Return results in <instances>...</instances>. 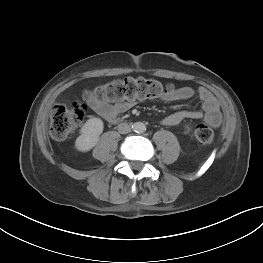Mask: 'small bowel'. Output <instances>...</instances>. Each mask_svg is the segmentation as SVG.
I'll list each match as a JSON object with an SVG mask.
<instances>
[{
  "instance_id": "obj_1",
  "label": "small bowel",
  "mask_w": 263,
  "mask_h": 263,
  "mask_svg": "<svg viewBox=\"0 0 263 263\" xmlns=\"http://www.w3.org/2000/svg\"><path fill=\"white\" fill-rule=\"evenodd\" d=\"M197 94L202 104L201 110H179L165 116L161 120V123L165 126H175L185 119H203L209 125L218 127L221 123V113L216 98L204 87L198 88ZM194 95L195 90L193 88L184 86L173 89L170 93L164 95L163 99L167 101L186 100L192 98ZM86 100L92 110L107 120L115 119L120 113L127 111L133 105V101L111 105L92 96H87Z\"/></svg>"
}]
</instances>
